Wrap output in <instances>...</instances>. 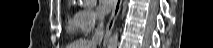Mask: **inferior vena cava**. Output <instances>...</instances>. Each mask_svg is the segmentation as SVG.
Listing matches in <instances>:
<instances>
[{"mask_svg": "<svg viewBox=\"0 0 213 48\" xmlns=\"http://www.w3.org/2000/svg\"><path fill=\"white\" fill-rule=\"evenodd\" d=\"M98 19L99 24L97 25V28L95 29V32L91 39V43L95 46L102 41L104 36V23H103L104 17L99 15Z\"/></svg>", "mask_w": 213, "mask_h": 48, "instance_id": "obj_1", "label": "inferior vena cava"}]
</instances>
